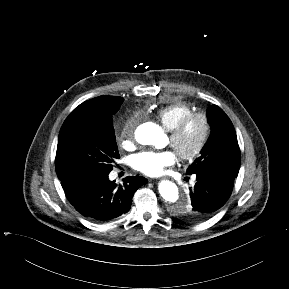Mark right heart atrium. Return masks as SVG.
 <instances>
[{"instance_id": "obj_1", "label": "right heart atrium", "mask_w": 289, "mask_h": 289, "mask_svg": "<svg viewBox=\"0 0 289 289\" xmlns=\"http://www.w3.org/2000/svg\"><path fill=\"white\" fill-rule=\"evenodd\" d=\"M132 128H133V121H129L126 125H125V127H124V129H123V136L124 137H126L125 139H124V141H123V144L125 145V146H128V145H130V143H131V141H130V139L128 138V136L131 134V132H132Z\"/></svg>"}]
</instances>
